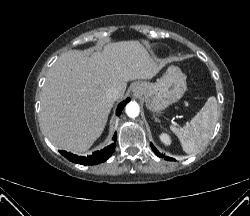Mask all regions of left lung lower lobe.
<instances>
[{
  "label": "left lung lower lobe",
  "instance_id": "0a47b994",
  "mask_svg": "<svg viewBox=\"0 0 250 216\" xmlns=\"http://www.w3.org/2000/svg\"><path fill=\"white\" fill-rule=\"evenodd\" d=\"M150 145H151L152 150L156 153L157 156H162V157H163V155H161V154L158 152V150L154 147V145H153L152 143H150ZM165 159H166V160H174V159H172V158H170V157H165Z\"/></svg>",
  "mask_w": 250,
  "mask_h": 216
}]
</instances>
